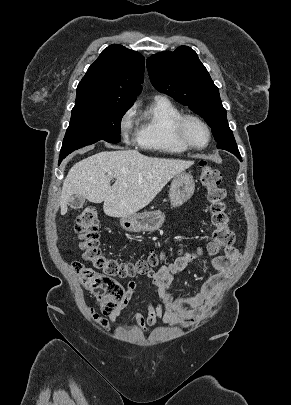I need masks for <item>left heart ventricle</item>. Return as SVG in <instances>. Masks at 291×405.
<instances>
[{
    "instance_id": "1",
    "label": "left heart ventricle",
    "mask_w": 291,
    "mask_h": 405,
    "mask_svg": "<svg viewBox=\"0 0 291 405\" xmlns=\"http://www.w3.org/2000/svg\"><path fill=\"white\" fill-rule=\"evenodd\" d=\"M188 139L196 146H203L207 141L205 129L197 122L190 121L186 126Z\"/></svg>"
}]
</instances>
